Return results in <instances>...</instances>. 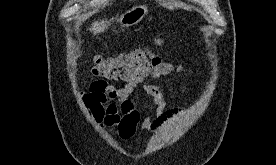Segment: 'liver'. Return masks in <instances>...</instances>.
<instances>
[{
    "instance_id": "6515ba94",
    "label": "liver",
    "mask_w": 276,
    "mask_h": 165,
    "mask_svg": "<svg viewBox=\"0 0 276 165\" xmlns=\"http://www.w3.org/2000/svg\"><path fill=\"white\" fill-rule=\"evenodd\" d=\"M113 20L114 18L110 19V21H107V20L95 21L92 23V26L89 30L90 32L93 33V35H97L100 32H102L104 29H106Z\"/></svg>"
}]
</instances>
